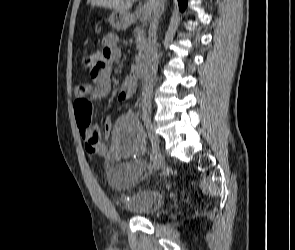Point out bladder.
Wrapping results in <instances>:
<instances>
[{
	"label": "bladder",
	"mask_w": 295,
	"mask_h": 250,
	"mask_svg": "<svg viewBox=\"0 0 295 250\" xmlns=\"http://www.w3.org/2000/svg\"><path fill=\"white\" fill-rule=\"evenodd\" d=\"M165 197L157 189H136L129 192L120 205L136 216H153L164 206Z\"/></svg>",
	"instance_id": "bladder-1"
}]
</instances>
